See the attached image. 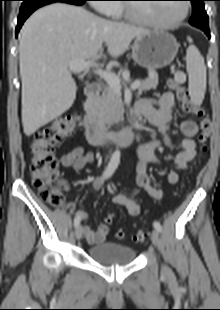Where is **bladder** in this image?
I'll return each instance as SVG.
<instances>
[{
  "instance_id": "bladder-1",
  "label": "bladder",
  "mask_w": 220,
  "mask_h": 310,
  "mask_svg": "<svg viewBox=\"0 0 220 310\" xmlns=\"http://www.w3.org/2000/svg\"><path fill=\"white\" fill-rule=\"evenodd\" d=\"M88 254L100 264L124 265L134 260L136 251L130 246L107 241L89 248Z\"/></svg>"
}]
</instances>
